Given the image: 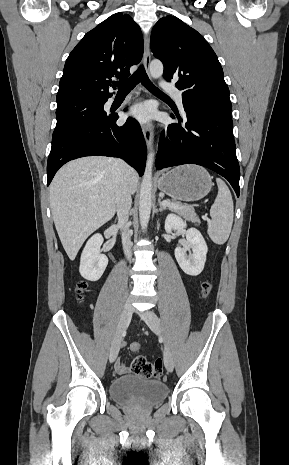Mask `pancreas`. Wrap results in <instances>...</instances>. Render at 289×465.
Listing matches in <instances>:
<instances>
[{
	"instance_id": "obj_1",
	"label": "pancreas",
	"mask_w": 289,
	"mask_h": 465,
	"mask_svg": "<svg viewBox=\"0 0 289 465\" xmlns=\"http://www.w3.org/2000/svg\"><path fill=\"white\" fill-rule=\"evenodd\" d=\"M170 202L179 206V208L170 206L169 207L170 210L178 213L179 215H181L183 218H185L188 221H191V222H194V223H199L200 222L198 216L196 215V213H195V211H194V209L192 207L187 206V205H183V204H181L179 202H176V201H170Z\"/></svg>"
}]
</instances>
